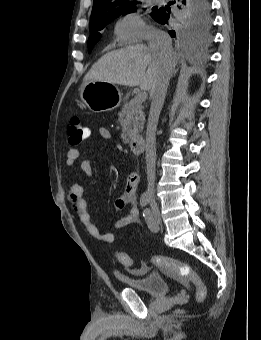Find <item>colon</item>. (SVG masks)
<instances>
[{"mask_svg":"<svg viewBox=\"0 0 261 340\" xmlns=\"http://www.w3.org/2000/svg\"><path fill=\"white\" fill-rule=\"evenodd\" d=\"M67 133L70 144H79L85 139V125L78 117L74 116L69 121ZM115 257L123 266L127 268L132 267L133 260L128 254L116 251ZM152 263L158 268L176 275L183 281L192 283L196 288L197 302L201 303L205 300L207 294L206 286L199 274L189 264L162 255L153 256ZM133 271L139 272L141 270L133 269Z\"/></svg>","mask_w":261,"mask_h":340,"instance_id":"5ec220e1","label":"colon"}]
</instances>
